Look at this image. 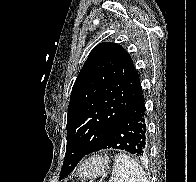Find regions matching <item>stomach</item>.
<instances>
[{"label":"stomach","mask_w":196,"mask_h":182,"mask_svg":"<svg viewBox=\"0 0 196 182\" xmlns=\"http://www.w3.org/2000/svg\"><path fill=\"white\" fill-rule=\"evenodd\" d=\"M109 160L102 155H95L84 161L78 170L80 179L96 178L102 175L108 168Z\"/></svg>","instance_id":"1"}]
</instances>
